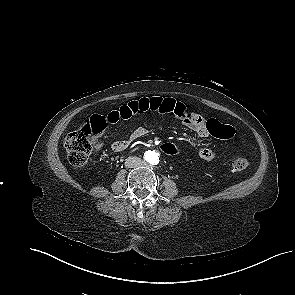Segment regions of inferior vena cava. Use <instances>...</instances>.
Returning a JSON list of instances; mask_svg holds the SVG:
<instances>
[{
    "instance_id": "602c4592",
    "label": "inferior vena cava",
    "mask_w": 295,
    "mask_h": 295,
    "mask_svg": "<svg viewBox=\"0 0 295 295\" xmlns=\"http://www.w3.org/2000/svg\"><path fill=\"white\" fill-rule=\"evenodd\" d=\"M141 164V159L136 156H130L125 161V166L128 168H135Z\"/></svg>"
}]
</instances>
